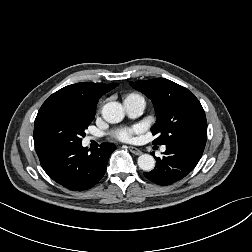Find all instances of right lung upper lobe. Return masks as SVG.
I'll list each match as a JSON object with an SVG mask.
<instances>
[{
  "instance_id": "right-lung-upper-lobe-1",
  "label": "right lung upper lobe",
  "mask_w": 252,
  "mask_h": 252,
  "mask_svg": "<svg viewBox=\"0 0 252 252\" xmlns=\"http://www.w3.org/2000/svg\"><path fill=\"white\" fill-rule=\"evenodd\" d=\"M117 86L118 83L82 82L72 84L52 94L43 103L40 110L53 105H62L76 111L95 115L99 98Z\"/></svg>"
}]
</instances>
